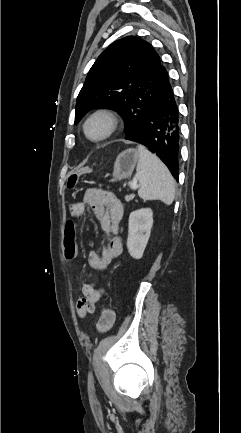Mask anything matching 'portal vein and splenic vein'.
<instances>
[{
    "label": "portal vein and splenic vein",
    "mask_w": 241,
    "mask_h": 433,
    "mask_svg": "<svg viewBox=\"0 0 241 433\" xmlns=\"http://www.w3.org/2000/svg\"><path fill=\"white\" fill-rule=\"evenodd\" d=\"M130 188H131L132 190H136V189L138 188V185H137L136 183H131V184H130Z\"/></svg>",
    "instance_id": "portal-vein-and-splenic-vein-1"
}]
</instances>
